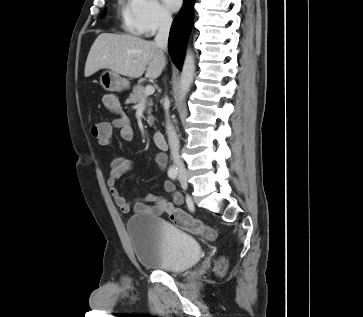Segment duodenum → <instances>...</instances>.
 Wrapping results in <instances>:
<instances>
[{"label": "duodenum", "instance_id": "1", "mask_svg": "<svg viewBox=\"0 0 363 317\" xmlns=\"http://www.w3.org/2000/svg\"><path fill=\"white\" fill-rule=\"evenodd\" d=\"M153 142H154L155 146L158 147V148H160V149L167 148L166 139H165L163 133L160 132V131H156L153 134Z\"/></svg>", "mask_w": 363, "mask_h": 317}]
</instances>
